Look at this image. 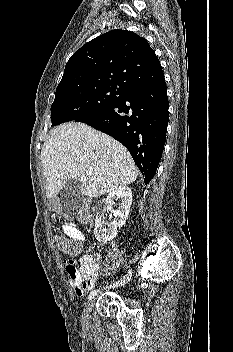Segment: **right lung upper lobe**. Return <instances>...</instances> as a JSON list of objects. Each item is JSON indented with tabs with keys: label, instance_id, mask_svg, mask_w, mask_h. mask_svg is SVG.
<instances>
[{
	"label": "right lung upper lobe",
	"instance_id": "obj_1",
	"mask_svg": "<svg viewBox=\"0 0 233 352\" xmlns=\"http://www.w3.org/2000/svg\"><path fill=\"white\" fill-rule=\"evenodd\" d=\"M163 75L147 40L131 31L111 30L86 43L70 57L56 95L101 85L130 90Z\"/></svg>",
	"mask_w": 233,
	"mask_h": 352
}]
</instances>
